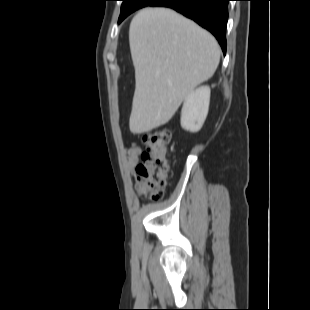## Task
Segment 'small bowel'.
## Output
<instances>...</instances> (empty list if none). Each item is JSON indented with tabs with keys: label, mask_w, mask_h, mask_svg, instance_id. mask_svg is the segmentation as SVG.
<instances>
[{
	"label": "small bowel",
	"mask_w": 310,
	"mask_h": 310,
	"mask_svg": "<svg viewBox=\"0 0 310 310\" xmlns=\"http://www.w3.org/2000/svg\"><path fill=\"white\" fill-rule=\"evenodd\" d=\"M142 148L136 143H132L126 148V164L130 169L138 167Z\"/></svg>",
	"instance_id": "small-bowel-1"
}]
</instances>
